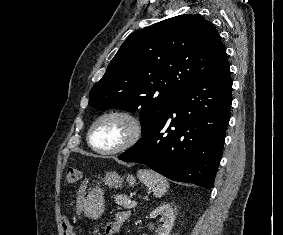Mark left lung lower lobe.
I'll return each mask as SVG.
<instances>
[{
    "label": "left lung lower lobe",
    "mask_w": 283,
    "mask_h": 235,
    "mask_svg": "<svg viewBox=\"0 0 283 235\" xmlns=\"http://www.w3.org/2000/svg\"><path fill=\"white\" fill-rule=\"evenodd\" d=\"M231 90L227 61L189 84L168 113L118 158L144 164L171 180L210 189L222 157Z\"/></svg>",
    "instance_id": "1"
}]
</instances>
